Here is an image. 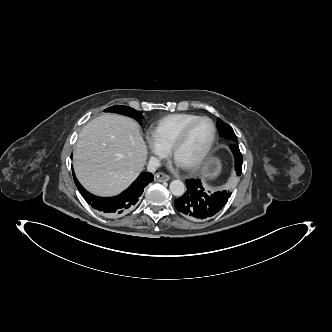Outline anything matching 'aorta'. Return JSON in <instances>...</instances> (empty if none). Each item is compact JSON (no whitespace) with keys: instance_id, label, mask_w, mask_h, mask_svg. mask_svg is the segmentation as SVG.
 I'll list each match as a JSON object with an SVG mask.
<instances>
[{"instance_id":"obj_1","label":"aorta","mask_w":332,"mask_h":332,"mask_svg":"<svg viewBox=\"0 0 332 332\" xmlns=\"http://www.w3.org/2000/svg\"><path fill=\"white\" fill-rule=\"evenodd\" d=\"M170 191L174 196L180 197L185 193V185L181 180H173L169 185Z\"/></svg>"}]
</instances>
